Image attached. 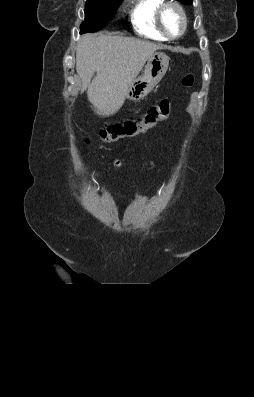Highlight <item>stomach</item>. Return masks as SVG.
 <instances>
[{
  "instance_id": "stomach-1",
  "label": "stomach",
  "mask_w": 254,
  "mask_h": 397,
  "mask_svg": "<svg viewBox=\"0 0 254 397\" xmlns=\"http://www.w3.org/2000/svg\"><path fill=\"white\" fill-rule=\"evenodd\" d=\"M169 66V57L163 52H154L148 59L145 69L130 84L125 99L139 101L143 99L163 78Z\"/></svg>"
}]
</instances>
